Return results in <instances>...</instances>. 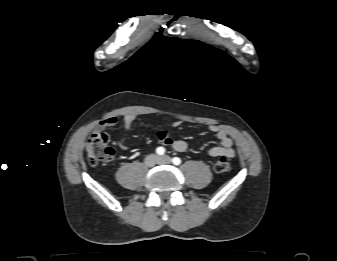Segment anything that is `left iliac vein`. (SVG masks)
<instances>
[{
    "instance_id": "obj_1",
    "label": "left iliac vein",
    "mask_w": 337,
    "mask_h": 261,
    "mask_svg": "<svg viewBox=\"0 0 337 261\" xmlns=\"http://www.w3.org/2000/svg\"><path fill=\"white\" fill-rule=\"evenodd\" d=\"M171 161H172V160H171V158H170L169 156L164 155V156L159 157L158 163H159V164H170Z\"/></svg>"
}]
</instances>
